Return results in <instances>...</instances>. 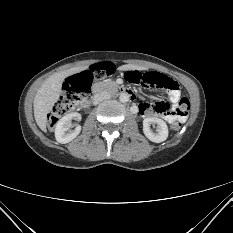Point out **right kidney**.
Masks as SVG:
<instances>
[{"mask_svg": "<svg viewBox=\"0 0 233 233\" xmlns=\"http://www.w3.org/2000/svg\"><path fill=\"white\" fill-rule=\"evenodd\" d=\"M72 120L80 121L81 115L77 112H72L63 116L58 121L55 127V138L57 142L65 144L72 141L79 135L81 126L77 125L76 128L72 130Z\"/></svg>", "mask_w": 233, "mask_h": 233, "instance_id": "right-kidney-1", "label": "right kidney"}]
</instances>
